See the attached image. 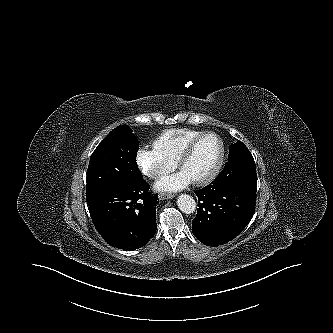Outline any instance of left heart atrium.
Masks as SVG:
<instances>
[{
    "label": "left heart atrium",
    "mask_w": 333,
    "mask_h": 333,
    "mask_svg": "<svg viewBox=\"0 0 333 333\" xmlns=\"http://www.w3.org/2000/svg\"><path fill=\"white\" fill-rule=\"evenodd\" d=\"M192 180L183 172L180 171L176 174L166 176L159 180L155 187L159 191H178L188 186Z\"/></svg>",
    "instance_id": "obj_1"
}]
</instances>
